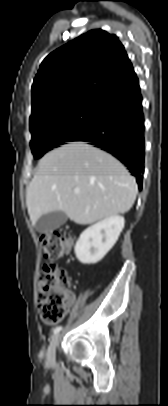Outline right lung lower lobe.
<instances>
[{"instance_id":"1","label":"right lung lower lobe","mask_w":168,"mask_h":406,"mask_svg":"<svg viewBox=\"0 0 168 406\" xmlns=\"http://www.w3.org/2000/svg\"><path fill=\"white\" fill-rule=\"evenodd\" d=\"M103 116L72 141L89 142L125 164L142 188L144 118L138 80L103 99Z\"/></svg>"}]
</instances>
